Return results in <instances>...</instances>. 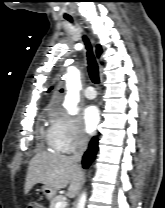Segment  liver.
<instances>
[{
	"label": "liver",
	"instance_id": "6515ba94",
	"mask_svg": "<svg viewBox=\"0 0 165 208\" xmlns=\"http://www.w3.org/2000/svg\"><path fill=\"white\" fill-rule=\"evenodd\" d=\"M84 180L81 166L71 160L70 156L51 153H38L30 161L24 192L28 194L31 188L41 183L53 189L60 190L69 184L67 195L76 196Z\"/></svg>",
	"mask_w": 165,
	"mask_h": 208
}]
</instances>
